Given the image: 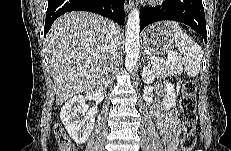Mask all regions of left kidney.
<instances>
[{
    "label": "left kidney",
    "instance_id": "left-kidney-1",
    "mask_svg": "<svg viewBox=\"0 0 231 151\" xmlns=\"http://www.w3.org/2000/svg\"><path fill=\"white\" fill-rule=\"evenodd\" d=\"M155 71L156 69L154 67H151L150 64H148L147 66H144L143 71H142L143 81L147 84L152 83L156 76ZM165 92H166V95L163 98L162 104L164 108L169 110L170 108L176 105V93H175L174 85L169 82H166Z\"/></svg>",
    "mask_w": 231,
    "mask_h": 151
}]
</instances>
